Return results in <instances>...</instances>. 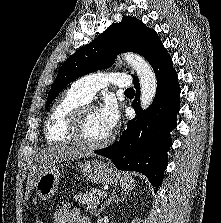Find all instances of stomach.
Listing matches in <instances>:
<instances>
[{
  "label": "stomach",
  "mask_w": 221,
  "mask_h": 223,
  "mask_svg": "<svg viewBox=\"0 0 221 223\" xmlns=\"http://www.w3.org/2000/svg\"><path fill=\"white\" fill-rule=\"evenodd\" d=\"M80 170L89 181L95 184H111L117 180V174L113 167L102 161H85L80 164ZM60 176V168L55 165L40 173L35 188L42 200H48L55 194Z\"/></svg>",
  "instance_id": "1"
}]
</instances>
